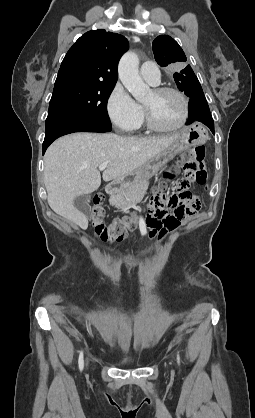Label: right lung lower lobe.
I'll use <instances>...</instances> for the list:
<instances>
[{
	"instance_id": "right-lung-lower-lobe-1",
	"label": "right lung lower lobe",
	"mask_w": 255,
	"mask_h": 418,
	"mask_svg": "<svg viewBox=\"0 0 255 418\" xmlns=\"http://www.w3.org/2000/svg\"><path fill=\"white\" fill-rule=\"evenodd\" d=\"M111 126L97 120L69 113L48 115L45 125L43 154L48 146L57 138L74 132H110Z\"/></svg>"
}]
</instances>
